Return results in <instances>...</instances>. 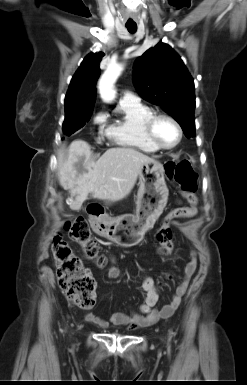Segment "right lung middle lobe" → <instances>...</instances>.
I'll list each match as a JSON object with an SVG mask.
<instances>
[{"label":"right lung middle lobe","mask_w":247,"mask_h":385,"mask_svg":"<svg viewBox=\"0 0 247 385\" xmlns=\"http://www.w3.org/2000/svg\"><path fill=\"white\" fill-rule=\"evenodd\" d=\"M93 107H65V120L63 123V131L66 135H71L90 119Z\"/></svg>","instance_id":"obj_1"}]
</instances>
